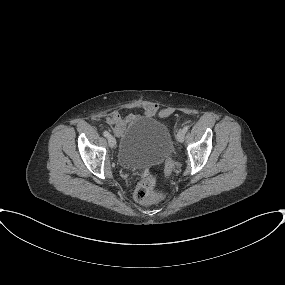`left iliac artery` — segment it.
Masks as SVG:
<instances>
[{
    "label": "left iliac artery",
    "instance_id": "obj_1",
    "mask_svg": "<svg viewBox=\"0 0 285 285\" xmlns=\"http://www.w3.org/2000/svg\"><path fill=\"white\" fill-rule=\"evenodd\" d=\"M188 129H189V127H188V126H185V127L183 128V131L186 133V132L188 131Z\"/></svg>",
    "mask_w": 285,
    "mask_h": 285
}]
</instances>
